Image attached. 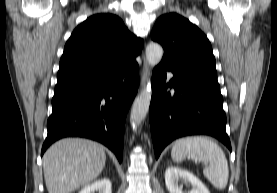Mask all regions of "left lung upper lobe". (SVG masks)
Returning <instances> with one entry per match:
<instances>
[{
  "label": "left lung upper lobe",
  "mask_w": 277,
  "mask_h": 193,
  "mask_svg": "<svg viewBox=\"0 0 277 193\" xmlns=\"http://www.w3.org/2000/svg\"><path fill=\"white\" fill-rule=\"evenodd\" d=\"M151 38L164 49L162 66L180 73L217 75L206 35L186 18L169 13L159 17Z\"/></svg>",
  "instance_id": "1"
}]
</instances>
